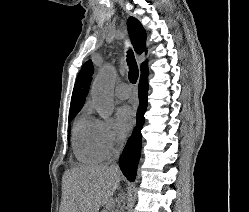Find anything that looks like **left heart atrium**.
Returning a JSON list of instances; mask_svg holds the SVG:
<instances>
[{"mask_svg":"<svg viewBox=\"0 0 249 212\" xmlns=\"http://www.w3.org/2000/svg\"><path fill=\"white\" fill-rule=\"evenodd\" d=\"M115 124L118 134H127L135 124L134 111L127 105L119 107L116 111Z\"/></svg>","mask_w":249,"mask_h":212,"instance_id":"left-heart-atrium-1","label":"left heart atrium"}]
</instances>
